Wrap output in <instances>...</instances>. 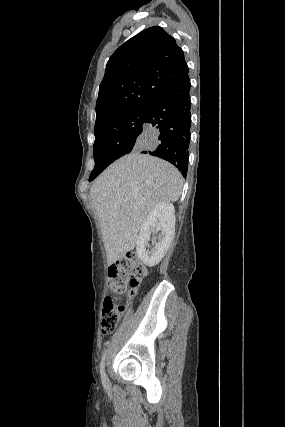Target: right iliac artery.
Instances as JSON below:
<instances>
[{"label": "right iliac artery", "mask_w": 285, "mask_h": 427, "mask_svg": "<svg viewBox=\"0 0 285 427\" xmlns=\"http://www.w3.org/2000/svg\"><path fill=\"white\" fill-rule=\"evenodd\" d=\"M105 357H106V350L103 353L101 364H100V374H101V378H102V381H103L104 385H106L105 384V380L108 379L107 376H106V373H105V368H104V366H105Z\"/></svg>", "instance_id": "obj_1"}]
</instances>
